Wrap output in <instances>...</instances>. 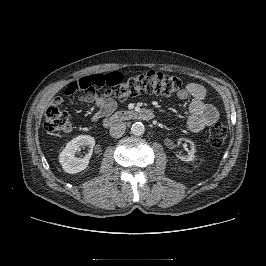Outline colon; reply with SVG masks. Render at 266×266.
Segmentation results:
<instances>
[{
  "instance_id": "obj_1",
  "label": "colon",
  "mask_w": 266,
  "mask_h": 266,
  "mask_svg": "<svg viewBox=\"0 0 266 266\" xmlns=\"http://www.w3.org/2000/svg\"><path fill=\"white\" fill-rule=\"evenodd\" d=\"M106 87L107 94L119 100L144 92L170 96L181 89L178 77L158 71H147L124 78L119 72L107 74H92L71 82L65 93H87L97 88ZM44 127L47 132L58 133L70 130L69 116L57 106H50L45 113ZM227 137V128L221 124H214L209 131V142L214 147L223 145Z\"/></svg>"
}]
</instances>
